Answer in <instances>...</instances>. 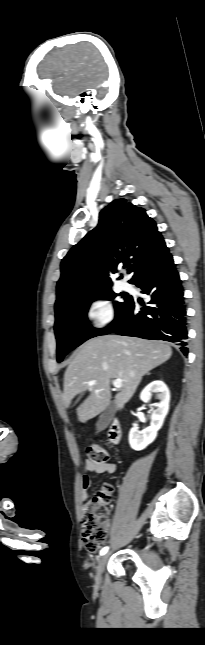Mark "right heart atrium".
Wrapping results in <instances>:
<instances>
[{
  "label": "right heart atrium",
  "instance_id": "d8ad5b80",
  "mask_svg": "<svg viewBox=\"0 0 205 645\" xmlns=\"http://www.w3.org/2000/svg\"><path fill=\"white\" fill-rule=\"evenodd\" d=\"M85 316L94 330H103L114 321L115 308L107 297L96 295L88 300Z\"/></svg>",
  "mask_w": 205,
  "mask_h": 645
}]
</instances>
